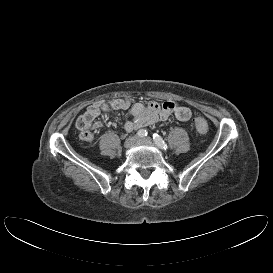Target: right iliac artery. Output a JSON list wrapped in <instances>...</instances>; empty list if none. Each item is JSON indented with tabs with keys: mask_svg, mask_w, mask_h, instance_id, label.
<instances>
[{
	"mask_svg": "<svg viewBox=\"0 0 273 273\" xmlns=\"http://www.w3.org/2000/svg\"><path fill=\"white\" fill-rule=\"evenodd\" d=\"M147 134H148V132H147V130H145V129H141V130H139V131L137 132V135H138L139 137H141V138L147 136Z\"/></svg>",
	"mask_w": 273,
	"mask_h": 273,
	"instance_id": "1",
	"label": "right iliac artery"
}]
</instances>
